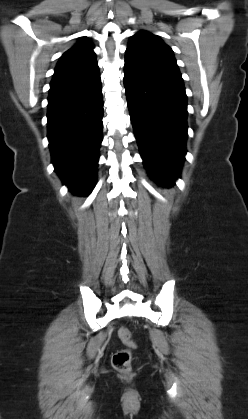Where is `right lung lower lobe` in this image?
<instances>
[{"mask_svg":"<svg viewBox=\"0 0 248 419\" xmlns=\"http://www.w3.org/2000/svg\"><path fill=\"white\" fill-rule=\"evenodd\" d=\"M97 62L53 77L48 97V140L52 163L76 194L93 188L102 142L103 97Z\"/></svg>","mask_w":248,"mask_h":419,"instance_id":"98d812e1","label":"right lung lower lobe"}]
</instances>
